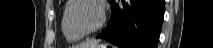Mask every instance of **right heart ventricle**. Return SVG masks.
<instances>
[{"mask_svg": "<svg viewBox=\"0 0 213 48\" xmlns=\"http://www.w3.org/2000/svg\"><path fill=\"white\" fill-rule=\"evenodd\" d=\"M69 3V1H68ZM68 3L66 4V6L64 7L63 11H62V18H61V31H62V34L65 38V40L69 43H74V42H77L79 41L82 37L80 36H77L75 34H73L67 24H66V21H65V13H66V10H67V6H68Z\"/></svg>", "mask_w": 213, "mask_h": 48, "instance_id": "e07e8e85", "label": "right heart ventricle"}]
</instances>
